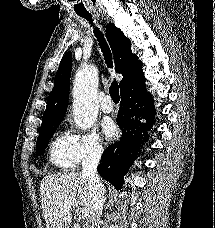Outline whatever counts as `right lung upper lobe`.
Instances as JSON below:
<instances>
[{"instance_id": "obj_1", "label": "right lung upper lobe", "mask_w": 215, "mask_h": 228, "mask_svg": "<svg viewBox=\"0 0 215 228\" xmlns=\"http://www.w3.org/2000/svg\"><path fill=\"white\" fill-rule=\"evenodd\" d=\"M106 35L114 54L116 72L123 75L119 84L122 90L130 78L143 75L142 62L138 61V57L132 53L130 40L113 23L107 25ZM71 69L72 54L68 52L62 58L56 73L53 90L47 99L42 125L63 120L68 106Z\"/></svg>"}]
</instances>
